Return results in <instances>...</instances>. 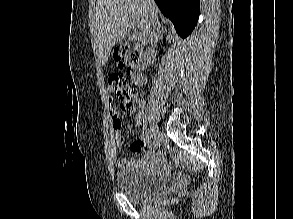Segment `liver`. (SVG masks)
Masks as SVG:
<instances>
[{"instance_id": "liver-1", "label": "liver", "mask_w": 293, "mask_h": 219, "mask_svg": "<svg viewBox=\"0 0 293 219\" xmlns=\"http://www.w3.org/2000/svg\"><path fill=\"white\" fill-rule=\"evenodd\" d=\"M159 9L153 0H97L94 48L102 65L116 43L124 39L132 27L135 38L145 45H154L159 31L155 30Z\"/></svg>"}]
</instances>
